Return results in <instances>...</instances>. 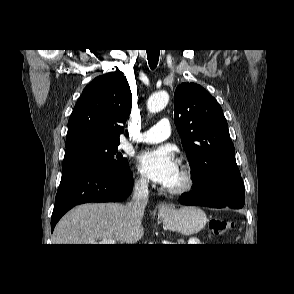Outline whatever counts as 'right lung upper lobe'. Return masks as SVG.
<instances>
[{"label": "right lung upper lobe", "mask_w": 294, "mask_h": 294, "mask_svg": "<svg viewBox=\"0 0 294 294\" xmlns=\"http://www.w3.org/2000/svg\"><path fill=\"white\" fill-rule=\"evenodd\" d=\"M132 106V94L126 78L110 72L87 85L68 121L66 144L95 139L120 142Z\"/></svg>", "instance_id": "1"}]
</instances>
